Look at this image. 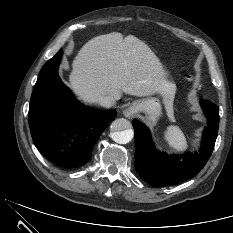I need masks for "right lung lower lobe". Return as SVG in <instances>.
Wrapping results in <instances>:
<instances>
[{"label": "right lung lower lobe", "mask_w": 233, "mask_h": 233, "mask_svg": "<svg viewBox=\"0 0 233 233\" xmlns=\"http://www.w3.org/2000/svg\"><path fill=\"white\" fill-rule=\"evenodd\" d=\"M62 53L60 50L40 71L28 119L38 150L61 167L75 168L87 163L116 111L92 109L74 98L58 75Z\"/></svg>", "instance_id": "obj_1"}]
</instances>
